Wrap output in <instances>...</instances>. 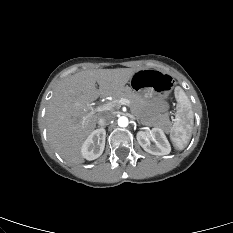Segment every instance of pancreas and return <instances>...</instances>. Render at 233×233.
Wrapping results in <instances>:
<instances>
[{
	"label": "pancreas",
	"instance_id": "1",
	"mask_svg": "<svg viewBox=\"0 0 233 233\" xmlns=\"http://www.w3.org/2000/svg\"><path fill=\"white\" fill-rule=\"evenodd\" d=\"M125 98L130 101L131 112L139 119L143 124L150 126L165 127L170 125L168 119L165 116L147 117L144 113L147 102L139 96L137 93L131 90L129 87H125L123 91L115 96V99Z\"/></svg>",
	"mask_w": 233,
	"mask_h": 233
}]
</instances>
